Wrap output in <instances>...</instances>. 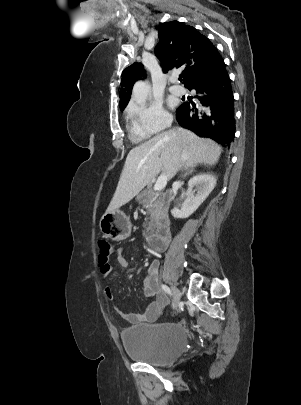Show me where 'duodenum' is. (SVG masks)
Here are the masks:
<instances>
[{"mask_svg":"<svg viewBox=\"0 0 301 405\" xmlns=\"http://www.w3.org/2000/svg\"><path fill=\"white\" fill-rule=\"evenodd\" d=\"M172 201V193L165 190L159 195V218L157 221L155 232L150 234L147 238L149 246L158 252L167 249L170 239V220L169 208Z\"/></svg>","mask_w":301,"mask_h":405,"instance_id":"1","label":"duodenum"}]
</instances>
